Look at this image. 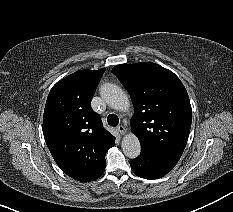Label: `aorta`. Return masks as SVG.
Wrapping results in <instances>:
<instances>
[{"label":"aorta","instance_id":"obj_1","mask_svg":"<svg viewBox=\"0 0 233 212\" xmlns=\"http://www.w3.org/2000/svg\"><path fill=\"white\" fill-rule=\"evenodd\" d=\"M100 95L110 107L116 110L126 111L130 107L126 93L115 84L105 83L102 85ZM121 146L124 154L131 159L138 157L141 152L140 142L132 133L123 137Z\"/></svg>","mask_w":233,"mask_h":212}]
</instances>
